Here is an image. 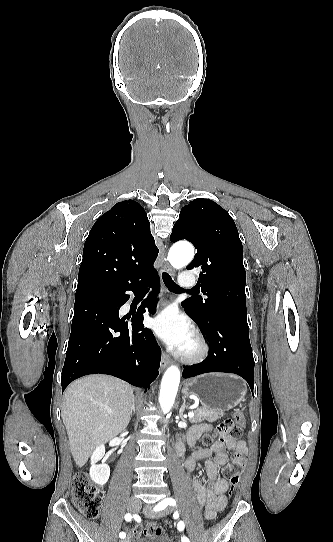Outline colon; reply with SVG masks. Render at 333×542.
Returning <instances> with one entry per match:
<instances>
[{"instance_id":"5ec220e1","label":"colon","mask_w":333,"mask_h":542,"mask_svg":"<svg viewBox=\"0 0 333 542\" xmlns=\"http://www.w3.org/2000/svg\"><path fill=\"white\" fill-rule=\"evenodd\" d=\"M215 431L216 436L228 442L240 440L244 432L243 416L240 412H236L232 417L218 422ZM203 441L206 445H212L215 443V435L206 433L203 436ZM233 455L236 459L232 463L231 468L226 470V474L229 477L230 489L224 494L225 498H229L234 488L240 483L241 472L246 464V459L240 451H235ZM72 501L75 507L81 510L87 517L96 518L98 516L102 502L101 489L91 476L78 474L73 478ZM162 531V525L157 522H149L142 529V533L148 537L161 535Z\"/></svg>"}]
</instances>
